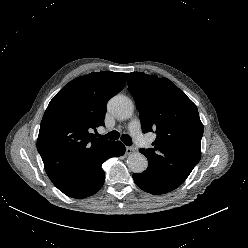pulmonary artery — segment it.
I'll return each instance as SVG.
<instances>
[{"instance_id": "1", "label": "pulmonary artery", "mask_w": 248, "mask_h": 248, "mask_svg": "<svg viewBox=\"0 0 248 248\" xmlns=\"http://www.w3.org/2000/svg\"><path fill=\"white\" fill-rule=\"evenodd\" d=\"M128 129L131 132V135L133 136L135 142L140 146H145L147 144V140L142 134L141 131V124L138 119H133L129 125Z\"/></svg>"}]
</instances>
